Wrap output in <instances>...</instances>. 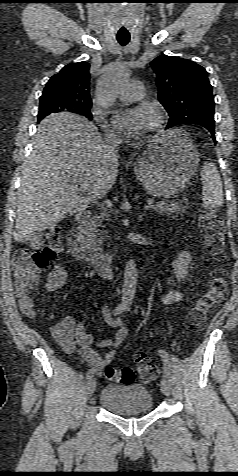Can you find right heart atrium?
<instances>
[{"mask_svg":"<svg viewBox=\"0 0 238 476\" xmlns=\"http://www.w3.org/2000/svg\"><path fill=\"white\" fill-rule=\"evenodd\" d=\"M93 115H94V119L103 127L107 136H110V137L117 136L116 130L114 129V127H112L111 125L107 123L105 114L102 111L95 110L93 112Z\"/></svg>","mask_w":238,"mask_h":476,"instance_id":"right-heart-atrium-1","label":"right heart atrium"}]
</instances>
